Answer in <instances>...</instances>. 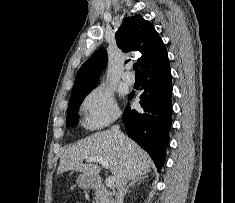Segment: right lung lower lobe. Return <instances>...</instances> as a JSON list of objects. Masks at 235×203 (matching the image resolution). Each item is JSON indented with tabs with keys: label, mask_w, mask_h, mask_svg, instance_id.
I'll return each instance as SVG.
<instances>
[{
	"label": "right lung lower lobe",
	"mask_w": 235,
	"mask_h": 203,
	"mask_svg": "<svg viewBox=\"0 0 235 203\" xmlns=\"http://www.w3.org/2000/svg\"><path fill=\"white\" fill-rule=\"evenodd\" d=\"M143 110L130 109L128 104L122 116L128 136L153 159L158 170L165 161V147L169 143L171 127L172 84L168 56L141 72ZM133 97L134 94L129 95Z\"/></svg>",
	"instance_id": "1"
}]
</instances>
